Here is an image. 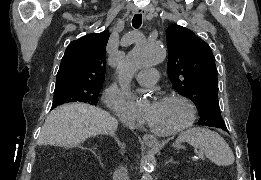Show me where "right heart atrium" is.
Segmentation results:
<instances>
[{
  "label": "right heart atrium",
  "instance_id": "d8ad5b80",
  "mask_svg": "<svg viewBox=\"0 0 261 180\" xmlns=\"http://www.w3.org/2000/svg\"><path fill=\"white\" fill-rule=\"evenodd\" d=\"M124 99L119 98V94L113 87H107L102 95V103L105 108H112L114 114H118V117L131 121V115L128 112V105L123 104Z\"/></svg>",
  "mask_w": 261,
  "mask_h": 180
}]
</instances>
